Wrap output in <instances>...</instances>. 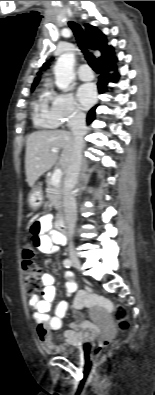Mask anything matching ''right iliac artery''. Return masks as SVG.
I'll return each mask as SVG.
<instances>
[{"instance_id":"1","label":"right iliac artery","mask_w":155,"mask_h":395,"mask_svg":"<svg viewBox=\"0 0 155 395\" xmlns=\"http://www.w3.org/2000/svg\"><path fill=\"white\" fill-rule=\"evenodd\" d=\"M63 264L66 268H70L72 266V262L69 259H65Z\"/></svg>"}]
</instances>
